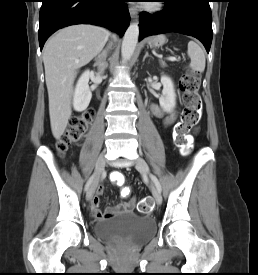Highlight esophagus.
<instances>
[{"mask_svg":"<svg viewBox=\"0 0 258 275\" xmlns=\"http://www.w3.org/2000/svg\"><path fill=\"white\" fill-rule=\"evenodd\" d=\"M129 13H130V16H131L132 19L137 18V16H138L137 7L134 6V5L129 6Z\"/></svg>","mask_w":258,"mask_h":275,"instance_id":"obj_1","label":"esophagus"}]
</instances>
